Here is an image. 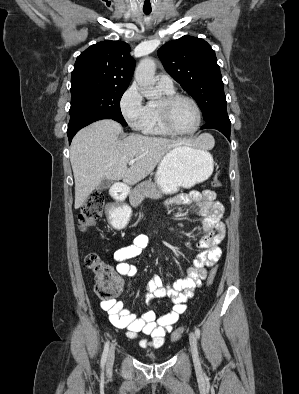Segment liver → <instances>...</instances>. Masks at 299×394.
<instances>
[{
	"instance_id": "6515ba94",
	"label": "liver",
	"mask_w": 299,
	"mask_h": 394,
	"mask_svg": "<svg viewBox=\"0 0 299 394\" xmlns=\"http://www.w3.org/2000/svg\"><path fill=\"white\" fill-rule=\"evenodd\" d=\"M122 126L104 119L81 129L70 146V161L75 181V209L83 205L103 179L123 180L134 185L147 177L173 148L188 145L189 140H170L131 134L120 140ZM206 143V135L197 138ZM131 159L136 162L127 167Z\"/></svg>"
}]
</instances>
